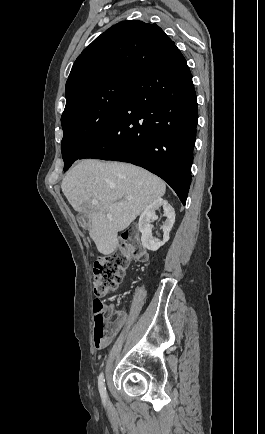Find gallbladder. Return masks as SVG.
<instances>
[{"mask_svg": "<svg viewBox=\"0 0 265 434\" xmlns=\"http://www.w3.org/2000/svg\"><path fill=\"white\" fill-rule=\"evenodd\" d=\"M77 221L80 223V225H85V220H84V216L83 215H78L77 216ZM84 229H87V226H84Z\"/></svg>", "mask_w": 265, "mask_h": 434, "instance_id": "gallbladder-1", "label": "gallbladder"}]
</instances>
